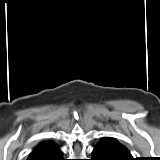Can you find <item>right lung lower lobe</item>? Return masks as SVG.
<instances>
[{"label": "right lung lower lobe", "instance_id": "obj_1", "mask_svg": "<svg viewBox=\"0 0 160 160\" xmlns=\"http://www.w3.org/2000/svg\"><path fill=\"white\" fill-rule=\"evenodd\" d=\"M31 160H65L62 157V152L58 146L54 147L53 149L38 155Z\"/></svg>", "mask_w": 160, "mask_h": 160}]
</instances>
